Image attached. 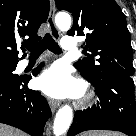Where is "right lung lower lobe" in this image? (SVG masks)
<instances>
[{
    "instance_id": "98d812e1",
    "label": "right lung lower lobe",
    "mask_w": 136,
    "mask_h": 136,
    "mask_svg": "<svg viewBox=\"0 0 136 136\" xmlns=\"http://www.w3.org/2000/svg\"><path fill=\"white\" fill-rule=\"evenodd\" d=\"M36 68L33 75L38 74ZM31 76H20L11 82H0V123L17 127L32 136H42L51 116L46 99L27 88Z\"/></svg>"
}]
</instances>
